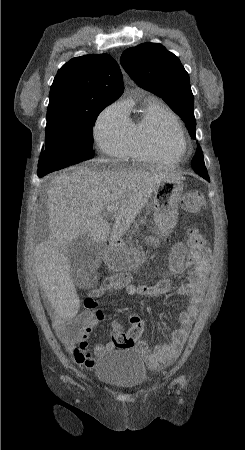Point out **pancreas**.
Segmentation results:
<instances>
[{
	"label": "pancreas",
	"instance_id": "obj_1",
	"mask_svg": "<svg viewBox=\"0 0 245 450\" xmlns=\"http://www.w3.org/2000/svg\"><path fill=\"white\" fill-rule=\"evenodd\" d=\"M145 221L144 220H141L140 221V223H144ZM135 228L137 229L138 228V224H135ZM134 232V231H133Z\"/></svg>",
	"mask_w": 245,
	"mask_h": 450
}]
</instances>
